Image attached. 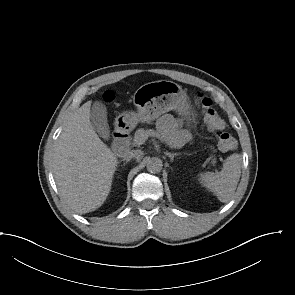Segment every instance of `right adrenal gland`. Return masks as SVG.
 <instances>
[{
  "label": "right adrenal gland",
  "mask_w": 295,
  "mask_h": 295,
  "mask_svg": "<svg viewBox=\"0 0 295 295\" xmlns=\"http://www.w3.org/2000/svg\"><path fill=\"white\" fill-rule=\"evenodd\" d=\"M124 162V166L130 161V159L129 158H123L122 160H120L118 163H121V162Z\"/></svg>",
  "instance_id": "1"
}]
</instances>
